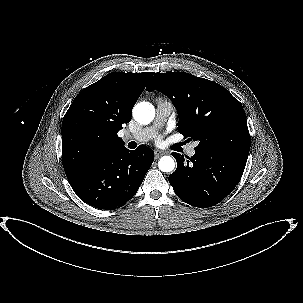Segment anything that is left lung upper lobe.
I'll return each mask as SVG.
<instances>
[{
	"instance_id": "5c2ea615",
	"label": "left lung upper lobe",
	"mask_w": 303,
	"mask_h": 303,
	"mask_svg": "<svg viewBox=\"0 0 303 303\" xmlns=\"http://www.w3.org/2000/svg\"><path fill=\"white\" fill-rule=\"evenodd\" d=\"M164 93L177 109L178 132L199 144L196 149L249 152L251 136L242 104L216 82L185 72L156 73L148 92Z\"/></svg>"
}]
</instances>
